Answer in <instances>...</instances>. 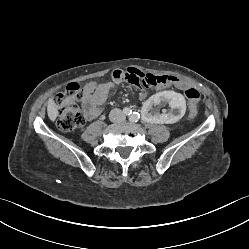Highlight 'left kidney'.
Masks as SVG:
<instances>
[{"mask_svg": "<svg viewBox=\"0 0 249 249\" xmlns=\"http://www.w3.org/2000/svg\"><path fill=\"white\" fill-rule=\"evenodd\" d=\"M186 104L183 95L164 91L146 100L139 113L148 125H166L178 121L185 114Z\"/></svg>", "mask_w": 249, "mask_h": 249, "instance_id": "left-kidney-1", "label": "left kidney"}]
</instances>
